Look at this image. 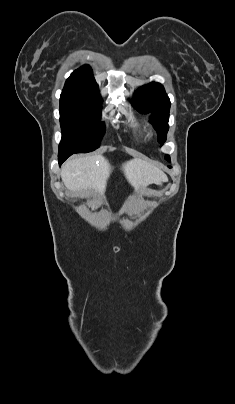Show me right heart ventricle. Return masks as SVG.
Listing matches in <instances>:
<instances>
[{
	"label": "right heart ventricle",
	"mask_w": 235,
	"mask_h": 404,
	"mask_svg": "<svg viewBox=\"0 0 235 404\" xmlns=\"http://www.w3.org/2000/svg\"><path fill=\"white\" fill-rule=\"evenodd\" d=\"M131 133L139 138H142L146 134V129L141 124H135L130 126Z\"/></svg>",
	"instance_id": "right-heart-ventricle-1"
}]
</instances>
